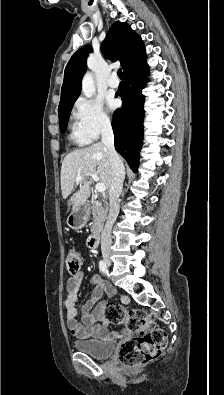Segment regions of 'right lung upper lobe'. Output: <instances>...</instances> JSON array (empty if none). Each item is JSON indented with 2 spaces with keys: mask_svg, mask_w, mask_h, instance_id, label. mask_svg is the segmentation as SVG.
Instances as JSON below:
<instances>
[{
  "mask_svg": "<svg viewBox=\"0 0 224 395\" xmlns=\"http://www.w3.org/2000/svg\"><path fill=\"white\" fill-rule=\"evenodd\" d=\"M90 46L77 50L64 71L59 108H64L76 99L81 92V80L86 71V59ZM102 52L107 58L121 62L123 70L145 53L141 37L127 23L115 22L102 43Z\"/></svg>",
  "mask_w": 224,
  "mask_h": 395,
  "instance_id": "cb5924a9",
  "label": "right lung upper lobe"
}]
</instances>
